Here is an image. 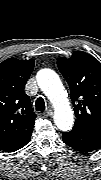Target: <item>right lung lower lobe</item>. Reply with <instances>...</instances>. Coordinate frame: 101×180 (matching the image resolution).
Returning a JSON list of instances; mask_svg holds the SVG:
<instances>
[{
    "instance_id": "98d812e1",
    "label": "right lung lower lobe",
    "mask_w": 101,
    "mask_h": 180,
    "mask_svg": "<svg viewBox=\"0 0 101 180\" xmlns=\"http://www.w3.org/2000/svg\"><path fill=\"white\" fill-rule=\"evenodd\" d=\"M30 140V139H29ZM29 140H27L20 148H22L23 146H25L28 142H29ZM19 148V149H20Z\"/></svg>"
}]
</instances>
